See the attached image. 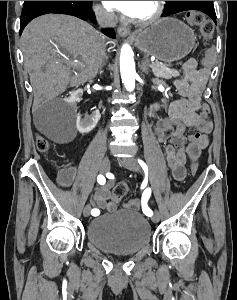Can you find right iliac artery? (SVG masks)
I'll return each mask as SVG.
<instances>
[{"label": "right iliac artery", "mask_w": 237, "mask_h": 300, "mask_svg": "<svg viewBox=\"0 0 237 300\" xmlns=\"http://www.w3.org/2000/svg\"><path fill=\"white\" fill-rule=\"evenodd\" d=\"M97 181L100 185H104L105 182H106V179L103 175H98L97 177ZM99 210L98 209H92L91 212H98Z\"/></svg>", "instance_id": "right-iliac-artery-1"}]
</instances>
